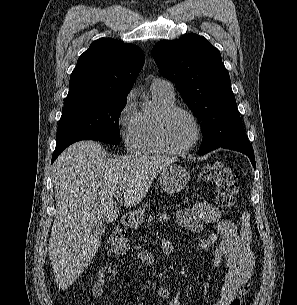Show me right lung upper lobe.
<instances>
[{"instance_id": "cb5924a9", "label": "right lung upper lobe", "mask_w": 297, "mask_h": 305, "mask_svg": "<svg viewBox=\"0 0 297 305\" xmlns=\"http://www.w3.org/2000/svg\"><path fill=\"white\" fill-rule=\"evenodd\" d=\"M142 50L111 38H100L78 59L64 103L86 98L127 96L144 64Z\"/></svg>"}]
</instances>
